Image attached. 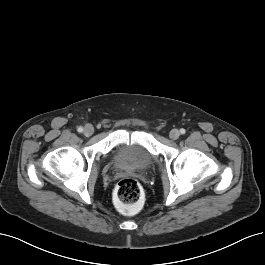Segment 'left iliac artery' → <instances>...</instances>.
Masks as SVG:
<instances>
[{
	"label": "left iliac artery",
	"instance_id": "left-iliac-artery-1",
	"mask_svg": "<svg viewBox=\"0 0 265 265\" xmlns=\"http://www.w3.org/2000/svg\"><path fill=\"white\" fill-rule=\"evenodd\" d=\"M180 132H181V134H185L186 131H185V129L181 128Z\"/></svg>",
	"mask_w": 265,
	"mask_h": 265
}]
</instances>
